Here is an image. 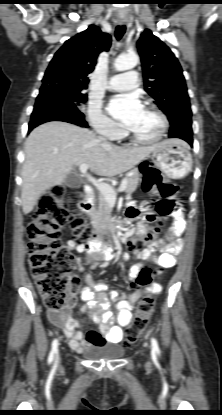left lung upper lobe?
Returning <instances> with one entry per match:
<instances>
[{
	"mask_svg": "<svg viewBox=\"0 0 222 415\" xmlns=\"http://www.w3.org/2000/svg\"><path fill=\"white\" fill-rule=\"evenodd\" d=\"M141 57L144 89L155 99L172 126L191 119L189 96L182 68L158 37L146 29L137 42Z\"/></svg>",
	"mask_w": 222,
	"mask_h": 415,
	"instance_id": "5c2ea615",
	"label": "left lung upper lobe"
}]
</instances>
